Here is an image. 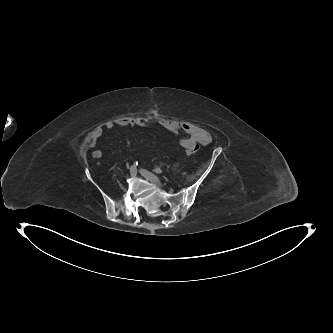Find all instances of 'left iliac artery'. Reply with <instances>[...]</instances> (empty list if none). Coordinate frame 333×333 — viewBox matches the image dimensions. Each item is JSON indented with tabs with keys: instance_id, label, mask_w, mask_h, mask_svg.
<instances>
[{
	"instance_id": "left-iliac-artery-1",
	"label": "left iliac artery",
	"mask_w": 333,
	"mask_h": 333,
	"mask_svg": "<svg viewBox=\"0 0 333 333\" xmlns=\"http://www.w3.org/2000/svg\"><path fill=\"white\" fill-rule=\"evenodd\" d=\"M154 171H155L156 173H158V174H160V173L163 172V171H162L160 168H158V167H155V168H154Z\"/></svg>"
}]
</instances>
